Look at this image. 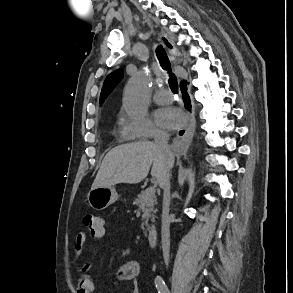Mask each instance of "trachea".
Segmentation results:
<instances>
[{
    "instance_id": "1",
    "label": "trachea",
    "mask_w": 293,
    "mask_h": 293,
    "mask_svg": "<svg viewBox=\"0 0 293 293\" xmlns=\"http://www.w3.org/2000/svg\"><path fill=\"white\" fill-rule=\"evenodd\" d=\"M156 55H157V58L160 62V65L161 67L168 71L169 73V86L171 88V90L174 92V93H178V82H177V78L176 76L171 72V66H170V61H169V58L165 52V50L163 49V47L160 45L157 47L156 49Z\"/></svg>"
}]
</instances>
